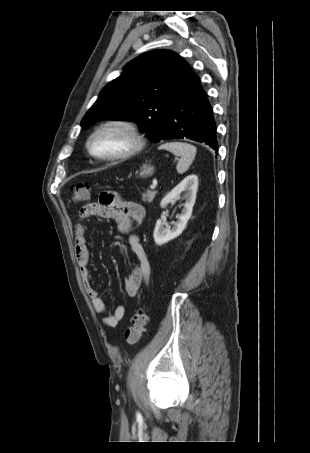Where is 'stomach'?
Listing matches in <instances>:
<instances>
[{
    "mask_svg": "<svg viewBox=\"0 0 310 453\" xmlns=\"http://www.w3.org/2000/svg\"><path fill=\"white\" fill-rule=\"evenodd\" d=\"M153 173H154V167L151 165L144 164L139 173V176L143 177V178H147V177L151 176Z\"/></svg>",
    "mask_w": 310,
    "mask_h": 453,
    "instance_id": "stomach-1",
    "label": "stomach"
}]
</instances>
